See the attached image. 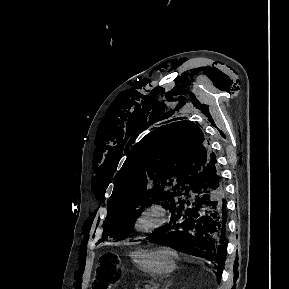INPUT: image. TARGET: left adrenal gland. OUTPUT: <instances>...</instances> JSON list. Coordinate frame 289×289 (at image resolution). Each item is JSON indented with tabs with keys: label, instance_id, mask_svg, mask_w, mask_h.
Listing matches in <instances>:
<instances>
[{
	"label": "left adrenal gland",
	"instance_id": "left-adrenal-gland-1",
	"mask_svg": "<svg viewBox=\"0 0 289 289\" xmlns=\"http://www.w3.org/2000/svg\"><path fill=\"white\" fill-rule=\"evenodd\" d=\"M171 285V281L166 282L165 288L164 289H168V287Z\"/></svg>",
	"mask_w": 289,
	"mask_h": 289
}]
</instances>
